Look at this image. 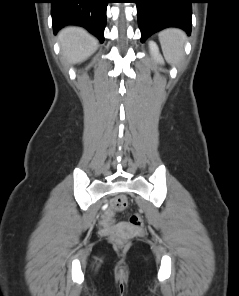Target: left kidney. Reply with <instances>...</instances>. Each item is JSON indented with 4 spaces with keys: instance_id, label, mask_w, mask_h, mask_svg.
Instances as JSON below:
<instances>
[{
    "instance_id": "1",
    "label": "left kidney",
    "mask_w": 239,
    "mask_h": 296,
    "mask_svg": "<svg viewBox=\"0 0 239 296\" xmlns=\"http://www.w3.org/2000/svg\"><path fill=\"white\" fill-rule=\"evenodd\" d=\"M149 48H150V51H151L152 55L154 56V58H155L158 62L163 63V59H162V57H161V55H160V53H159V49H158L157 44H156L155 42L152 41V42H150V44H149Z\"/></svg>"
}]
</instances>
